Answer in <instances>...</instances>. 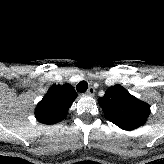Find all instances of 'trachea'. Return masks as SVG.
Returning <instances> with one entry per match:
<instances>
[{"label":"trachea","instance_id":"obj_1","mask_svg":"<svg viewBox=\"0 0 164 164\" xmlns=\"http://www.w3.org/2000/svg\"><path fill=\"white\" fill-rule=\"evenodd\" d=\"M87 89H88V83L86 81H81L76 86V90L80 93H84Z\"/></svg>","mask_w":164,"mask_h":164}]
</instances>
